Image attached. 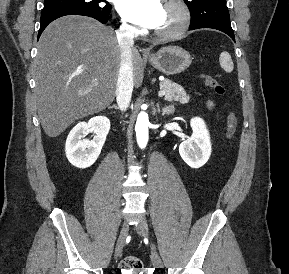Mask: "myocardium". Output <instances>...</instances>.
I'll return each mask as SVG.
<instances>
[{"label":"myocardium","instance_id":"1","mask_svg":"<svg viewBox=\"0 0 289 274\" xmlns=\"http://www.w3.org/2000/svg\"><path fill=\"white\" fill-rule=\"evenodd\" d=\"M165 6L173 7L178 11V22L171 29L154 30V35L161 39H172L180 36L187 30L191 20V13L188 5L183 0H166Z\"/></svg>","mask_w":289,"mask_h":274}]
</instances>
